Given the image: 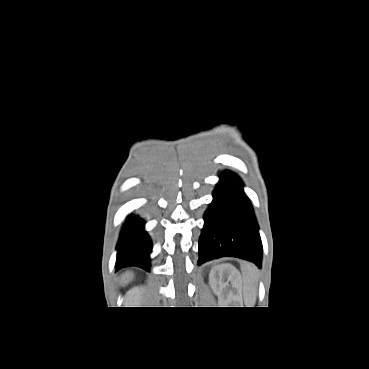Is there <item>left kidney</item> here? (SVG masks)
Listing matches in <instances>:
<instances>
[{
    "instance_id": "1",
    "label": "left kidney",
    "mask_w": 369,
    "mask_h": 369,
    "mask_svg": "<svg viewBox=\"0 0 369 369\" xmlns=\"http://www.w3.org/2000/svg\"><path fill=\"white\" fill-rule=\"evenodd\" d=\"M225 277L227 278L226 282H224ZM240 281L241 276L239 272L231 265L215 266L209 274L210 286L218 296L222 294L223 290L229 285V282H231L232 288L238 293ZM234 298L236 297L234 296Z\"/></svg>"
}]
</instances>
